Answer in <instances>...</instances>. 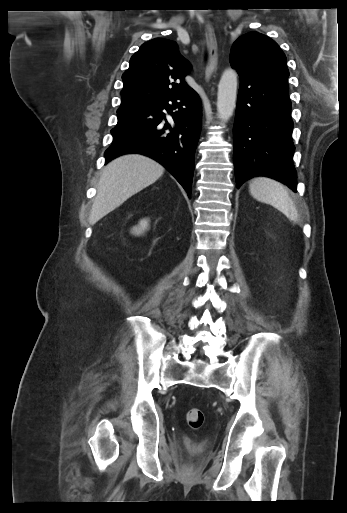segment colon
<instances>
[{"instance_id":"1","label":"colon","mask_w":347,"mask_h":513,"mask_svg":"<svg viewBox=\"0 0 347 513\" xmlns=\"http://www.w3.org/2000/svg\"><path fill=\"white\" fill-rule=\"evenodd\" d=\"M187 423L193 429H199L204 424V413L197 408L190 409L186 414Z\"/></svg>"}]
</instances>
